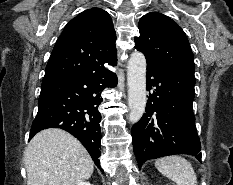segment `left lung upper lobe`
I'll use <instances>...</instances> for the list:
<instances>
[{
	"instance_id": "1",
	"label": "left lung upper lobe",
	"mask_w": 233,
	"mask_h": 185,
	"mask_svg": "<svg viewBox=\"0 0 233 185\" xmlns=\"http://www.w3.org/2000/svg\"><path fill=\"white\" fill-rule=\"evenodd\" d=\"M138 28L140 36L134 39L135 48L145 55L147 65L194 75L189 41L176 22L152 12L140 19Z\"/></svg>"
}]
</instances>
